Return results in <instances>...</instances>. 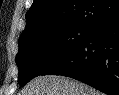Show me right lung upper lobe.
Here are the masks:
<instances>
[{"instance_id": "1", "label": "right lung upper lobe", "mask_w": 119, "mask_h": 95, "mask_svg": "<svg viewBox=\"0 0 119 95\" xmlns=\"http://www.w3.org/2000/svg\"><path fill=\"white\" fill-rule=\"evenodd\" d=\"M118 19L119 0H34L20 37L64 25L93 30Z\"/></svg>"}]
</instances>
